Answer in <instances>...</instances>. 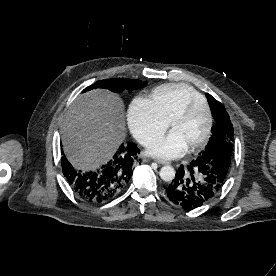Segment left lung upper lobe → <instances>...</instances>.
I'll list each match as a JSON object with an SVG mask.
<instances>
[{"label": "left lung upper lobe", "mask_w": 276, "mask_h": 276, "mask_svg": "<svg viewBox=\"0 0 276 276\" xmlns=\"http://www.w3.org/2000/svg\"><path fill=\"white\" fill-rule=\"evenodd\" d=\"M216 125L212 127V137L198 157L211 170L226 181L234 152V130L225 107L210 94H206Z\"/></svg>", "instance_id": "5c2ea615"}]
</instances>
